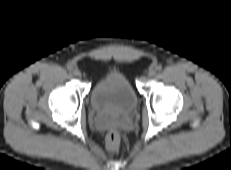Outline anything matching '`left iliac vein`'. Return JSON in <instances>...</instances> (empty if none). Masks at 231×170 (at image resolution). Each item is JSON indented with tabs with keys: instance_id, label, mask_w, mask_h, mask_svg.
<instances>
[{
	"instance_id": "left-iliac-vein-1",
	"label": "left iliac vein",
	"mask_w": 231,
	"mask_h": 170,
	"mask_svg": "<svg viewBox=\"0 0 231 170\" xmlns=\"http://www.w3.org/2000/svg\"><path fill=\"white\" fill-rule=\"evenodd\" d=\"M156 74V70L154 68L149 69L148 77H153Z\"/></svg>"
}]
</instances>
